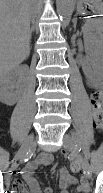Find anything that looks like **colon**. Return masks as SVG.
<instances>
[{
  "instance_id": "colon-1",
  "label": "colon",
  "mask_w": 103,
  "mask_h": 193,
  "mask_svg": "<svg viewBox=\"0 0 103 193\" xmlns=\"http://www.w3.org/2000/svg\"><path fill=\"white\" fill-rule=\"evenodd\" d=\"M91 107L93 120L98 128L102 127L103 122V90L95 89L91 93ZM70 169L74 173L82 172L81 164L78 161H73L70 165ZM16 193H25L23 187L17 188Z\"/></svg>"
}]
</instances>
